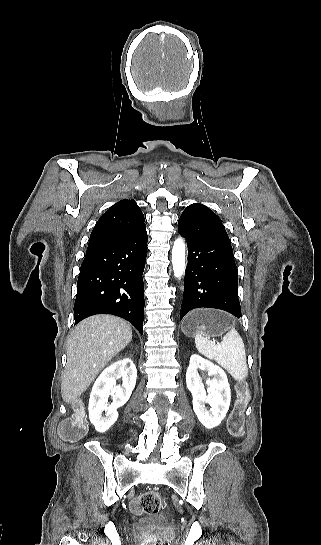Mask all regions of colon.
I'll list each match as a JSON object with an SVG mask.
<instances>
[{"mask_svg": "<svg viewBox=\"0 0 321 545\" xmlns=\"http://www.w3.org/2000/svg\"><path fill=\"white\" fill-rule=\"evenodd\" d=\"M249 401V391L244 385L237 387V397L227 427L229 433L234 437H241L244 434V411ZM87 432V424L84 411L77 407L75 413L64 420L60 426V436L68 442H77ZM164 500L157 492H145L139 495L131 504V510L135 514H156L164 506ZM142 545H169L167 539L160 534L149 535Z\"/></svg>", "mask_w": 321, "mask_h": 545, "instance_id": "colon-1", "label": "colon"}]
</instances>
